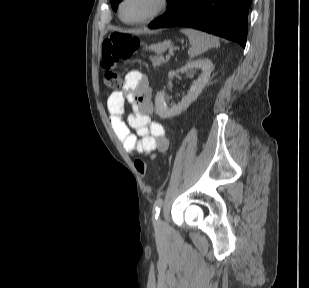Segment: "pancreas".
<instances>
[{
    "label": "pancreas",
    "mask_w": 309,
    "mask_h": 288,
    "mask_svg": "<svg viewBox=\"0 0 309 288\" xmlns=\"http://www.w3.org/2000/svg\"><path fill=\"white\" fill-rule=\"evenodd\" d=\"M151 61H152L153 67L160 66V65L165 64L167 62V60H165L163 56H155V57L151 58Z\"/></svg>",
    "instance_id": "pancreas-1"
}]
</instances>
